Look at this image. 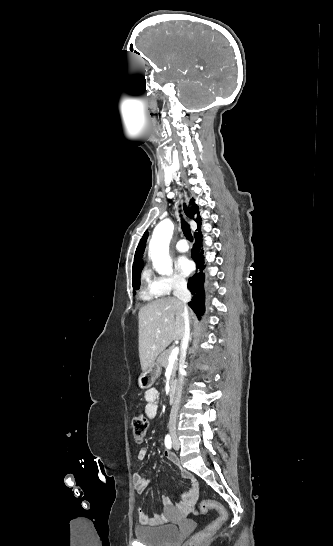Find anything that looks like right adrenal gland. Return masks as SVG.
Here are the masks:
<instances>
[{"label":"right adrenal gland","instance_id":"1","mask_svg":"<svg viewBox=\"0 0 333 546\" xmlns=\"http://www.w3.org/2000/svg\"><path fill=\"white\" fill-rule=\"evenodd\" d=\"M192 335H193V332H191V335H190V342L192 341Z\"/></svg>","mask_w":333,"mask_h":546}]
</instances>
